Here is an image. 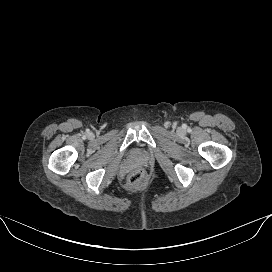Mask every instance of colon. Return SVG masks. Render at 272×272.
Segmentation results:
<instances>
[{
  "instance_id": "colon-1",
  "label": "colon",
  "mask_w": 272,
  "mask_h": 272,
  "mask_svg": "<svg viewBox=\"0 0 272 272\" xmlns=\"http://www.w3.org/2000/svg\"><path fill=\"white\" fill-rule=\"evenodd\" d=\"M146 181V173L142 169L134 170L128 177L127 183L131 188H139Z\"/></svg>"
}]
</instances>
